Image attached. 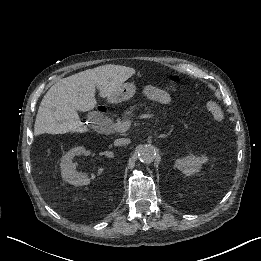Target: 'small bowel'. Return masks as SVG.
<instances>
[{
	"label": "small bowel",
	"instance_id": "obj_1",
	"mask_svg": "<svg viewBox=\"0 0 261 261\" xmlns=\"http://www.w3.org/2000/svg\"><path fill=\"white\" fill-rule=\"evenodd\" d=\"M142 93L149 99L157 101L161 104H168L170 102V95L163 89L148 85L142 89Z\"/></svg>",
	"mask_w": 261,
	"mask_h": 261
}]
</instances>
